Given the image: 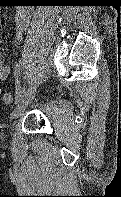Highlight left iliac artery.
I'll return each instance as SVG.
<instances>
[{
    "mask_svg": "<svg viewBox=\"0 0 121 197\" xmlns=\"http://www.w3.org/2000/svg\"><path fill=\"white\" fill-rule=\"evenodd\" d=\"M27 64V57L23 56L15 66V79H16V101L22 96V93L25 91V88L21 85L20 77L22 72Z\"/></svg>",
    "mask_w": 121,
    "mask_h": 197,
    "instance_id": "1",
    "label": "left iliac artery"
}]
</instances>
